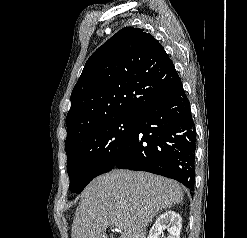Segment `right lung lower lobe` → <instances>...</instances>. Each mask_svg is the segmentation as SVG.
<instances>
[{"instance_id":"obj_1","label":"right lung lower lobe","mask_w":247,"mask_h":238,"mask_svg":"<svg viewBox=\"0 0 247 238\" xmlns=\"http://www.w3.org/2000/svg\"><path fill=\"white\" fill-rule=\"evenodd\" d=\"M196 136L181 79L166 96L139 113L113 168L147 171L194 191Z\"/></svg>"}]
</instances>
